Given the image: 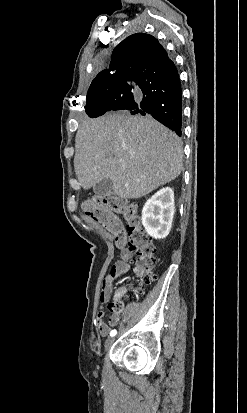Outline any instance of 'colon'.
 <instances>
[{
	"label": "colon",
	"mask_w": 247,
	"mask_h": 413,
	"mask_svg": "<svg viewBox=\"0 0 247 413\" xmlns=\"http://www.w3.org/2000/svg\"><path fill=\"white\" fill-rule=\"evenodd\" d=\"M83 208L85 213L104 229L112 232L116 243L121 245L127 234L129 250L133 256L134 271L140 285H149L155 279L152 269L158 262L156 250L150 236L143 230L140 222V213L136 204L127 203L112 195L94 196L87 200ZM128 223L124 228L122 221ZM140 290L133 289L134 296L138 297ZM122 295V293H121ZM122 304H110L112 313Z\"/></svg>",
	"instance_id": "1"
}]
</instances>
